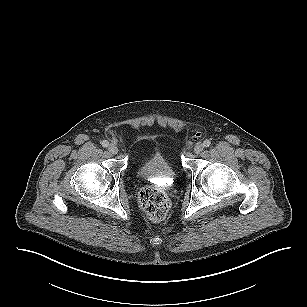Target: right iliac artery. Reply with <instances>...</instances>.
<instances>
[{"mask_svg":"<svg viewBox=\"0 0 307 307\" xmlns=\"http://www.w3.org/2000/svg\"><path fill=\"white\" fill-rule=\"evenodd\" d=\"M101 144H102L103 147H108L109 142H108L107 140H103V141L101 142Z\"/></svg>","mask_w":307,"mask_h":307,"instance_id":"obj_1","label":"right iliac artery"}]
</instances>
